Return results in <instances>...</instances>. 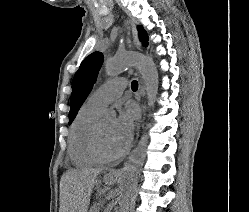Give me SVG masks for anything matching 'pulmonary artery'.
Listing matches in <instances>:
<instances>
[{"label": "pulmonary artery", "instance_id": "1", "mask_svg": "<svg viewBox=\"0 0 249 212\" xmlns=\"http://www.w3.org/2000/svg\"><path fill=\"white\" fill-rule=\"evenodd\" d=\"M127 85V80L124 77L110 79L103 85L98 87L89 97L88 101L92 105L103 109L110 102L119 98Z\"/></svg>", "mask_w": 249, "mask_h": 212}]
</instances>
